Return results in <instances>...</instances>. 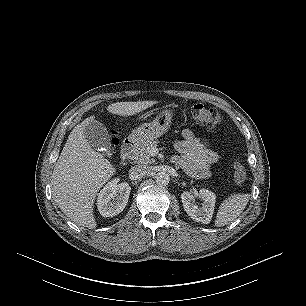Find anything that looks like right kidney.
Wrapping results in <instances>:
<instances>
[{
  "label": "right kidney",
  "mask_w": 306,
  "mask_h": 306,
  "mask_svg": "<svg viewBox=\"0 0 306 306\" xmlns=\"http://www.w3.org/2000/svg\"><path fill=\"white\" fill-rule=\"evenodd\" d=\"M118 182V178L113 179L98 194L97 207L103 217L115 216L127 205L131 187L126 182Z\"/></svg>",
  "instance_id": "ca27d5eb"
}]
</instances>
